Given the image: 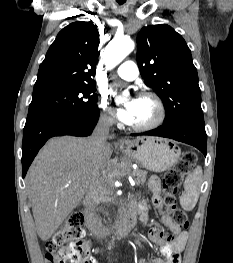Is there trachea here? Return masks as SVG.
<instances>
[{"instance_id": "1", "label": "trachea", "mask_w": 233, "mask_h": 263, "mask_svg": "<svg viewBox=\"0 0 233 263\" xmlns=\"http://www.w3.org/2000/svg\"><path fill=\"white\" fill-rule=\"evenodd\" d=\"M125 1H126V0H117V2H118L120 5L124 4Z\"/></svg>"}]
</instances>
